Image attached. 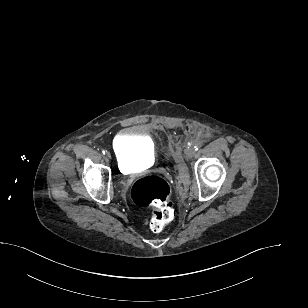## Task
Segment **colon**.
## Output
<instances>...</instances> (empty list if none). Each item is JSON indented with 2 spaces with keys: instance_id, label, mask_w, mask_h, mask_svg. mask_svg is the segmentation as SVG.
Instances as JSON below:
<instances>
[{
  "instance_id": "obj_1",
  "label": "colon",
  "mask_w": 308,
  "mask_h": 308,
  "mask_svg": "<svg viewBox=\"0 0 308 308\" xmlns=\"http://www.w3.org/2000/svg\"><path fill=\"white\" fill-rule=\"evenodd\" d=\"M131 197L137 206L153 209L150 220L153 231H161L174 217L171 187L162 177L147 175L135 180L131 187Z\"/></svg>"
}]
</instances>
